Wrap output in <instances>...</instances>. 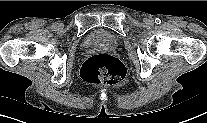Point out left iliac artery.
Segmentation results:
<instances>
[{
  "label": "left iliac artery",
  "mask_w": 207,
  "mask_h": 123,
  "mask_svg": "<svg viewBox=\"0 0 207 123\" xmlns=\"http://www.w3.org/2000/svg\"><path fill=\"white\" fill-rule=\"evenodd\" d=\"M155 23H156V24H160V23H161V20H160L159 18H156V19H155Z\"/></svg>",
  "instance_id": "44dca946"
}]
</instances>
